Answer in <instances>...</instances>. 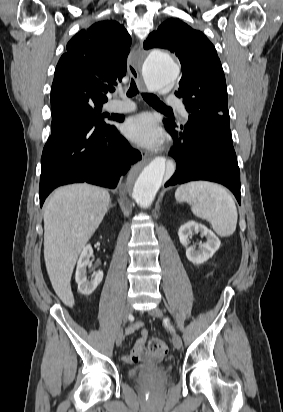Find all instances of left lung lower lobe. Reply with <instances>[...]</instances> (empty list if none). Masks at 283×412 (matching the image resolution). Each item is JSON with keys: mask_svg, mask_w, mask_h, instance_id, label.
Wrapping results in <instances>:
<instances>
[{"mask_svg": "<svg viewBox=\"0 0 283 412\" xmlns=\"http://www.w3.org/2000/svg\"><path fill=\"white\" fill-rule=\"evenodd\" d=\"M166 129L174 139L169 154L176 160L177 168L165 186L193 180L213 181L229 188L241 204L240 170L234 149L214 143L197 128L166 120Z\"/></svg>", "mask_w": 283, "mask_h": 412, "instance_id": "obj_1", "label": "left lung lower lobe"}]
</instances>
